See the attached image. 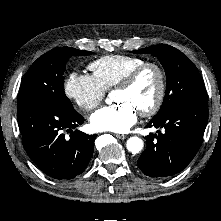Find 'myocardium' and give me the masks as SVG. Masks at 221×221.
<instances>
[{
  "label": "myocardium",
  "mask_w": 221,
  "mask_h": 221,
  "mask_svg": "<svg viewBox=\"0 0 221 221\" xmlns=\"http://www.w3.org/2000/svg\"><path fill=\"white\" fill-rule=\"evenodd\" d=\"M154 69L158 75V92L153 104L142 111H139L140 116L149 117L156 114L161 108L165 94H166V74L164 69L155 62H144L143 64L137 66L132 71H130L117 85L116 89H128L130 88L138 79V77L146 69Z\"/></svg>",
  "instance_id": "obj_1"
}]
</instances>
